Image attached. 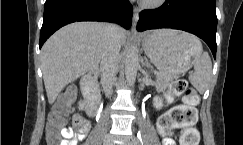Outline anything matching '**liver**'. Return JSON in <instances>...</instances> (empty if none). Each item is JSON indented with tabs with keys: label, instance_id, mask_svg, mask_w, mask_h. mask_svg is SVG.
Wrapping results in <instances>:
<instances>
[{
	"label": "liver",
	"instance_id": "1",
	"mask_svg": "<svg viewBox=\"0 0 243 145\" xmlns=\"http://www.w3.org/2000/svg\"><path fill=\"white\" fill-rule=\"evenodd\" d=\"M107 24L77 22L53 34L41 50V69L49 104L66 85L96 68L102 60ZM127 33L119 30L120 44Z\"/></svg>",
	"mask_w": 243,
	"mask_h": 145
}]
</instances>
